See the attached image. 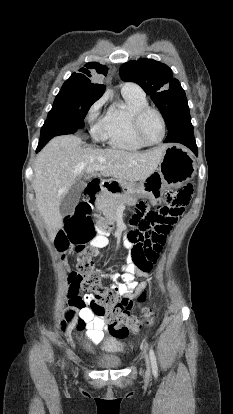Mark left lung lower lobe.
<instances>
[{"label": "left lung lower lobe", "instance_id": "left-lung-lower-lobe-1", "mask_svg": "<svg viewBox=\"0 0 233 414\" xmlns=\"http://www.w3.org/2000/svg\"><path fill=\"white\" fill-rule=\"evenodd\" d=\"M168 130L165 143H180L190 148L196 155L198 154L189 110L181 113Z\"/></svg>", "mask_w": 233, "mask_h": 414}]
</instances>
